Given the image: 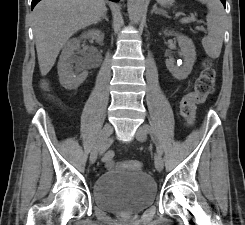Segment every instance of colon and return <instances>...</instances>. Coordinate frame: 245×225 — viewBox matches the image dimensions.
<instances>
[{
	"label": "colon",
	"instance_id": "colon-1",
	"mask_svg": "<svg viewBox=\"0 0 245 225\" xmlns=\"http://www.w3.org/2000/svg\"><path fill=\"white\" fill-rule=\"evenodd\" d=\"M217 77V71L213 67L211 59L205 58L193 89L184 94L181 100V115L186 124L192 125L194 123L197 105L204 102L213 93ZM42 89L48 91L49 86H44ZM102 162L106 168L113 167L115 165L114 154L107 152ZM123 164L132 170H141L142 168L141 163L137 160H125Z\"/></svg>",
	"mask_w": 245,
	"mask_h": 225
}]
</instances>
